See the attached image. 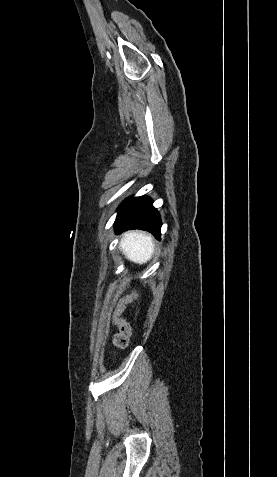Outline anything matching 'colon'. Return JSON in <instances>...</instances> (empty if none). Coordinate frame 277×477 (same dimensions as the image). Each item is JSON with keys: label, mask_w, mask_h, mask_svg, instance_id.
<instances>
[{"label": "colon", "mask_w": 277, "mask_h": 477, "mask_svg": "<svg viewBox=\"0 0 277 477\" xmlns=\"http://www.w3.org/2000/svg\"><path fill=\"white\" fill-rule=\"evenodd\" d=\"M140 297L141 294L138 290L135 288H130L129 291L125 292V294L117 300L116 309L112 314V324L119 326V332L114 336L113 339V344L116 348L124 349L129 344L131 328L122 315L131 303H139Z\"/></svg>", "instance_id": "colon-1"}]
</instances>
